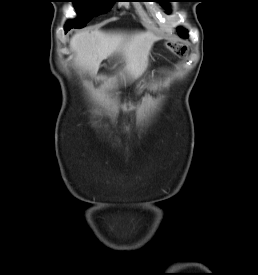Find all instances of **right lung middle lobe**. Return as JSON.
<instances>
[{"mask_svg":"<svg viewBox=\"0 0 258 275\" xmlns=\"http://www.w3.org/2000/svg\"><path fill=\"white\" fill-rule=\"evenodd\" d=\"M76 10L80 13L81 20H70L66 26L71 28H82L86 23L101 13L107 12L114 0H72Z\"/></svg>","mask_w":258,"mask_h":275,"instance_id":"obj_1","label":"right lung middle lobe"}]
</instances>
